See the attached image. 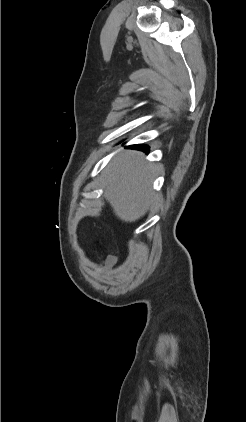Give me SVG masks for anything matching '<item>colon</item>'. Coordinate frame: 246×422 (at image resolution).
Segmentation results:
<instances>
[{"mask_svg":"<svg viewBox=\"0 0 246 422\" xmlns=\"http://www.w3.org/2000/svg\"><path fill=\"white\" fill-rule=\"evenodd\" d=\"M115 263V259L113 257H108L102 262L103 267H108Z\"/></svg>","mask_w":246,"mask_h":422,"instance_id":"obj_1","label":"colon"}]
</instances>
